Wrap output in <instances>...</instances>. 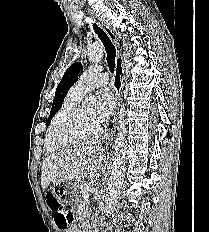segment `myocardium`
Instances as JSON below:
<instances>
[{"label":"myocardium","instance_id":"f54148a6","mask_svg":"<svg viewBox=\"0 0 209 232\" xmlns=\"http://www.w3.org/2000/svg\"><path fill=\"white\" fill-rule=\"evenodd\" d=\"M84 107L81 105L76 106L74 109L65 114L58 125L54 128V136L57 140L74 143L77 141L87 140L96 137L101 132L100 126H98L92 132H79L73 128L74 123L80 118Z\"/></svg>","mask_w":209,"mask_h":232}]
</instances>
